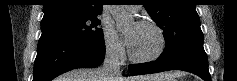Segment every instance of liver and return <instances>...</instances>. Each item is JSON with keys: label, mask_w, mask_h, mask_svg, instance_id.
<instances>
[{"label": "liver", "mask_w": 237, "mask_h": 81, "mask_svg": "<svg viewBox=\"0 0 237 81\" xmlns=\"http://www.w3.org/2000/svg\"><path fill=\"white\" fill-rule=\"evenodd\" d=\"M102 67L93 69H75L65 73L58 78V81H103L101 75ZM157 79L155 76H136L130 78H123L119 76L114 81H152Z\"/></svg>", "instance_id": "liver-1"}]
</instances>
